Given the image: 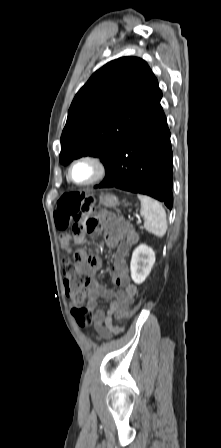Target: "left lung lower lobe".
I'll return each mask as SVG.
<instances>
[{"instance_id": "0a47b994", "label": "left lung lower lobe", "mask_w": 221, "mask_h": 448, "mask_svg": "<svg viewBox=\"0 0 221 448\" xmlns=\"http://www.w3.org/2000/svg\"><path fill=\"white\" fill-rule=\"evenodd\" d=\"M161 97L118 145L98 187L146 194L171 209L172 150Z\"/></svg>"}]
</instances>
